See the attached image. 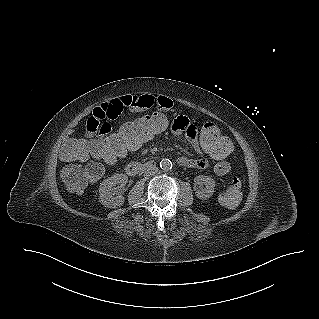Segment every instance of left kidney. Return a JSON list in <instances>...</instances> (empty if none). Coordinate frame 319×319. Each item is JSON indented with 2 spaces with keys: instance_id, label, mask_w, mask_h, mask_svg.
Masks as SVG:
<instances>
[{
  "instance_id": "5707ae66",
  "label": "left kidney",
  "mask_w": 319,
  "mask_h": 319,
  "mask_svg": "<svg viewBox=\"0 0 319 319\" xmlns=\"http://www.w3.org/2000/svg\"><path fill=\"white\" fill-rule=\"evenodd\" d=\"M195 185H204L205 188H201L196 191V196L201 200L210 198L214 193L215 181L213 178L204 175H198L194 179Z\"/></svg>"
}]
</instances>
